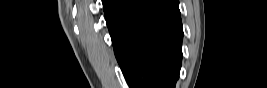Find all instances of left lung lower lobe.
Returning a JSON list of instances; mask_svg holds the SVG:
<instances>
[{
    "label": "left lung lower lobe",
    "mask_w": 267,
    "mask_h": 88,
    "mask_svg": "<svg viewBox=\"0 0 267 88\" xmlns=\"http://www.w3.org/2000/svg\"><path fill=\"white\" fill-rule=\"evenodd\" d=\"M116 59L130 88H175L182 60L178 0H103Z\"/></svg>",
    "instance_id": "0a47b994"
}]
</instances>
